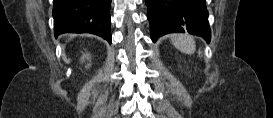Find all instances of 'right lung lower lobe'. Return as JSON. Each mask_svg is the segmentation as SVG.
I'll return each instance as SVG.
<instances>
[{"instance_id": "obj_1", "label": "right lung lower lobe", "mask_w": 273, "mask_h": 118, "mask_svg": "<svg viewBox=\"0 0 273 118\" xmlns=\"http://www.w3.org/2000/svg\"><path fill=\"white\" fill-rule=\"evenodd\" d=\"M111 0H54V34L92 33L111 43Z\"/></svg>"}]
</instances>
